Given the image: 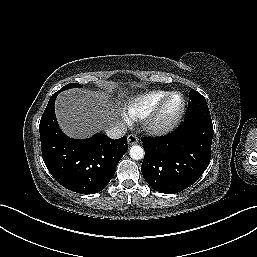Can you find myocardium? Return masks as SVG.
<instances>
[{"instance_id":"f54148a6","label":"myocardium","mask_w":257,"mask_h":257,"mask_svg":"<svg viewBox=\"0 0 257 257\" xmlns=\"http://www.w3.org/2000/svg\"><path fill=\"white\" fill-rule=\"evenodd\" d=\"M174 96L181 97V106L178 112L168 120H162V114L169 101ZM186 111V99L182 93L170 92L144 119V129L151 135L163 136L172 132L181 122Z\"/></svg>"}]
</instances>
